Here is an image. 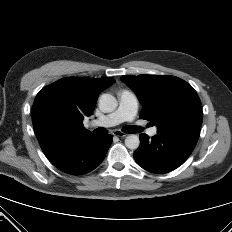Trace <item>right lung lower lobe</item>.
<instances>
[{
    "instance_id": "98d812e1",
    "label": "right lung lower lobe",
    "mask_w": 232,
    "mask_h": 232,
    "mask_svg": "<svg viewBox=\"0 0 232 232\" xmlns=\"http://www.w3.org/2000/svg\"><path fill=\"white\" fill-rule=\"evenodd\" d=\"M112 142V136L90 135L83 139L62 142L44 154L59 170L72 175L86 174L100 165Z\"/></svg>"
}]
</instances>
